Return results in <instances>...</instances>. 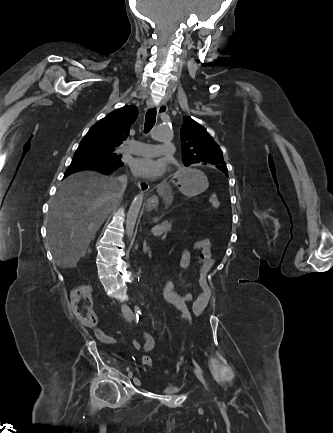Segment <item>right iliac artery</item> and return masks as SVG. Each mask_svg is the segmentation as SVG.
I'll list each match as a JSON object with an SVG mask.
<instances>
[{"label":"right iliac artery","mask_w":333,"mask_h":433,"mask_svg":"<svg viewBox=\"0 0 333 433\" xmlns=\"http://www.w3.org/2000/svg\"><path fill=\"white\" fill-rule=\"evenodd\" d=\"M138 317V315H136ZM127 371H129V367L126 368Z\"/></svg>","instance_id":"right-iliac-artery-1"}]
</instances>
